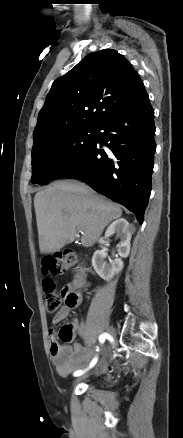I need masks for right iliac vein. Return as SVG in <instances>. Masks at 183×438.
<instances>
[{
	"label": "right iliac vein",
	"instance_id": "right-iliac-vein-1",
	"mask_svg": "<svg viewBox=\"0 0 183 438\" xmlns=\"http://www.w3.org/2000/svg\"><path fill=\"white\" fill-rule=\"evenodd\" d=\"M107 332H108V334H109L112 338L115 337V332H114V330H113L112 328H108ZM86 377H87V374H85V375H83V376H81V377H78V378L76 379L75 382H78V381H80V380H82V379H84V378H86Z\"/></svg>",
	"mask_w": 183,
	"mask_h": 438
}]
</instances>
